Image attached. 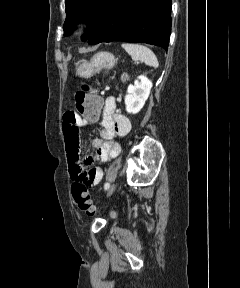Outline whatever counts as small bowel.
I'll return each instance as SVG.
<instances>
[{
    "label": "small bowel",
    "instance_id": "c3829d8e",
    "mask_svg": "<svg viewBox=\"0 0 240 288\" xmlns=\"http://www.w3.org/2000/svg\"><path fill=\"white\" fill-rule=\"evenodd\" d=\"M87 125L88 122L73 110L67 111L63 116V133L71 179L74 183L95 186L102 180L103 170L100 167H88L92 157L84 161L80 157L79 130ZM130 130L129 118L117 111L116 100L113 96L107 97L102 109V128L99 135L92 141L95 149L93 159L98 162H107L117 157L120 145L115 138L126 136Z\"/></svg>",
    "mask_w": 240,
    "mask_h": 288
}]
</instances>
